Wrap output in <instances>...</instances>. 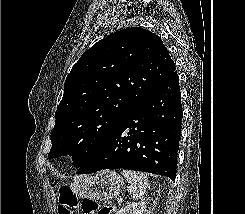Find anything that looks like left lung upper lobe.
<instances>
[{
	"label": "left lung upper lobe",
	"mask_w": 245,
	"mask_h": 214,
	"mask_svg": "<svg viewBox=\"0 0 245 214\" xmlns=\"http://www.w3.org/2000/svg\"><path fill=\"white\" fill-rule=\"evenodd\" d=\"M175 69L161 38L146 29H123L97 42L67 76L48 158L69 154L80 167Z\"/></svg>",
	"instance_id": "5c2ea615"
}]
</instances>
